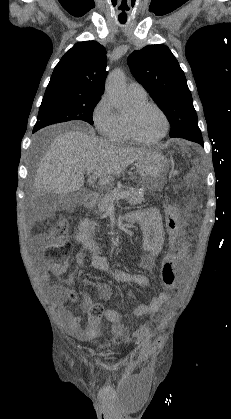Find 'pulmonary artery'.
Here are the masks:
<instances>
[{"instance_id": "1", "label": "pulmonary artery", "mask_w": 231, "mask_h": 419, "mask_svg": "<svg viewBox=\"0 0 231 419\" xmlns=\"http://www.w3.org/2000/svg\"><path fill=\"white\" fill-rule=\"evenodd\" d=\"M128 93L131 96L137 97V98H146V90L145 88L138 82H131L128 85Z\"/></svg>"}]
</instances>
